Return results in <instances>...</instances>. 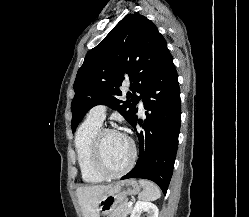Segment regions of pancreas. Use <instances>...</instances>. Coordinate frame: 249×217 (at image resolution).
Returning <instances> with one entry per match:
<instances>
[{
  "mask_svg": "<svg viewBox=\"0 0 249 217\" xmlns=\"http://www.w3.org/2000/svg\"><path fill=\"white\" fill-rule=\"evenodd\" d=\"M127 204V201H124L122 204L117 206L109 217H127V215L132 211V206L128 207Z\"/></svg>",
  "mask_w": 249,
  "mask_h": 217,
  "instance_id": "cf45deb5",
  "label": "pancreas"
}]
</instances>
